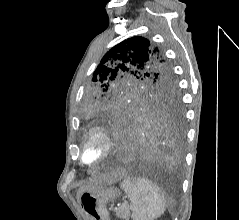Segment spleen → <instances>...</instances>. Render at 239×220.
<instances>
[{
	"label": "spleen",
	"mask_w": 239,
	"mask_h": 220,
	"mask_svg": "<svg viewBox=\"0 0 239 220\" xmlns=\"http://www.w3.org/2000/svg\"><path fill=\"white\" fill-rule=\"evenodd\" d=\"M121 188L131 201L133 220H154L166 210L167 202L159 187L144 178L125 179Z\"/></svg>",
	"instance_id": "spleen-1"
}]
</instances>
